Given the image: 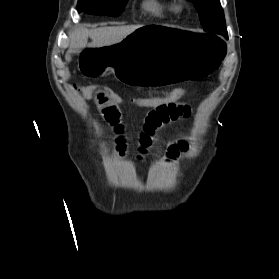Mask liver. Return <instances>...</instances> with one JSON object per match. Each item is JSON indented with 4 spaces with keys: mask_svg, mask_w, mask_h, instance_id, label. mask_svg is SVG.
Instances as JSON below:
<instances>
[{
    "mask_svg": "<svg viewBox=\"0 0 279 279\" xmlns=\"http://www.w3.org/2000/svg\"><path fill=\"white\" fill-rule=\"evenodd\" d=\"M141 27L143 25L102 27L94 30L83 27L77 28L69 34L70 44L67 54L77 53L86 46L99 48L115 45ZM88 37L92 39L89 44Z\"/></svg>",
    "mask_w": 279,
    "mask_h": 279,
    "instance_id": "liver-1",
    "label": "liver"
}]
</instances>
